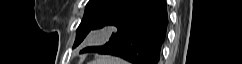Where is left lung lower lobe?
Instances as JSON below:
<instances>
[{"label":"left lung lower lobe","mask_w":242,"mask_h":64,"mask_svg":"<svg viewBox=\"0 0 242 64\" xmlns=\"http://www.w3.org/2000/svg\"><path fill=\"white\" fill-rule=\"evenodd\" d=\"M108 25L118 29L110 40L104 46L84 48L81 53L118 56L132 64H158L168 25L165 0H122L95 29Z\"/></svg>","instance_id":"left-lung-lower-lobe-1"}]
</instances>
